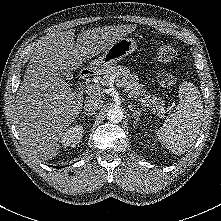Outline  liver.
Masks as SVG:
<instances>
[{
	"label": "liver",
	"instance_id": "1",
	"mask_svg": "<svg viewBox=\"0 0 221 221\" xmlns=\"http://www.w3.org/2000/svg\"><path fill=\"white\" fill-rule=\"evenodd\" d=\"M136 26L98 27L55 32L34 50L15 100L18 133L29 152L43 160L58 153L63 132L81 112L83 96L72 91L60 72L80 68Z\"/></svg>",
	"mask_w": 221,
	"mask_h": 221
}]
</instances>
